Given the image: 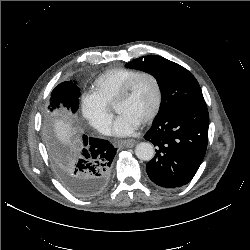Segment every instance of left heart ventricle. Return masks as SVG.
I'll return each mask as SVG.
<instances>
[{
  "label": "left heart ventricle",
  "mask_w": 250,
  "mask_h": 250,
  "mask_svg": "<svg viewBox=\"0 0 250 250\" xmlns=\"http://www.w3.org/2000/svg\"><path fill=\"white\" fill-rule=\"evenodd\" d=\"M156 103V91L149 77H141L134 85L129 97L116 107L118 114H125L139 124L150 115Z\"/></svg>",
  "instance_id": "left-heart-ventricle-1"
}]
</instances>
